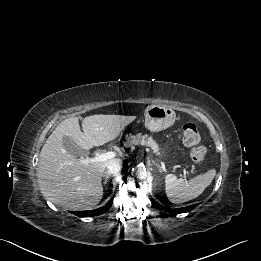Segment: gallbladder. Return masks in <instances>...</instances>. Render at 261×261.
<instances>
[{"label": "gallbladder", "instance_id": "1", "mask_svg": "<svg viewBox=\"0 0 261 261\" xmlns=\"http://www.w3.org/2000/svg\"><path fill=\"white\" fill-rule=\"evenodd\" d=\"M63 145L68 152L74 155L86 154V151L80 148L69 136L63 137Z\"/></svg>", "mask_w": 261, "mask_h": 261}]
</instances>
